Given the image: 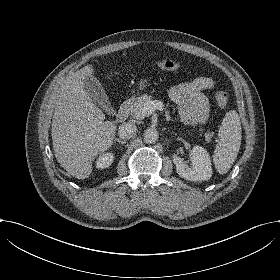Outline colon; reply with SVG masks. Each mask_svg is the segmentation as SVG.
<instances>
[{
  "mask_svg": "<svg viewBox=\"0 0 280 280\" xmlns=\"http://www.w3.org/2000/svg\"><path fill=\"white\" fill-rule=\"evenodd\" d=\"M180 62L176 58H169L162 63V69L166 73H171L178 70ZM215 100L220 108H225L228 104V95L224 91H217L215 93Z\"/></svg>",
  "mask_w": 280,
  "mask_h": 280,
  "instance_id": "5ec220e1",
  "label": "colon"
}]
</instances>
